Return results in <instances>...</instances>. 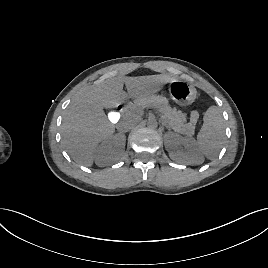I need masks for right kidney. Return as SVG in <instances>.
<instances>
[{
	"label": "right kidney",
	"instance_id": "ca27d5eb",
	"mask_svg": "<svg viewBox=\"0 0 268 268\" xmlns=\"http://www.w3.org/2000/svg\"><path fill=\"white\" fill-rule=\"evenodd\" d=\"M126 137L123 134H115L106 138L94 153L95 163L99 167H105L117 162L123 155Z\"/></svg>",
	"mask_w": 268,
	"mask_h": 268
}]
</instances>
